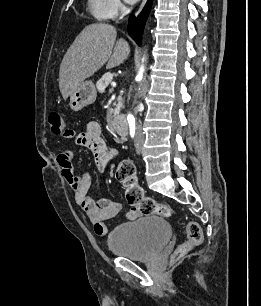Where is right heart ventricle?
Segmentation results:
<instances>
[{"instance_id":"1","label":"right heart ventricle","mask_w":261,"mask_h":306,"mask_svg":"<svg viewBox=\"0 0 261 306\" xmlns=\"http://www.w3.org/2000/svg\"><path fill=\"white\" fill-rule=\"evenodd\" d=\"M88 7L91 13L100 20L108 18L107 0H88Z\"/></svg>"}]
</instances>
